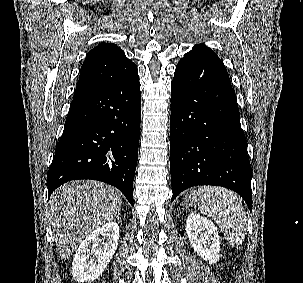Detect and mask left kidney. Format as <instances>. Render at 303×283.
Listing matches in <instances>:
<instances>
[{
	"label": "left kidney",
	"mask_w": 303,
	"mask_h": 283,
	"mask_svg": "<svg viewBox=\"0 0 303 283\" xmlns=\"http://www.w3.org/2000/svg\"><path fill=\"white\" fill-rule=\"evenodd\" d=\"M186 232L194 251L213 264L219 260L220 241L215 225L198 214L191 213L186 221Z\"/></svg>",
	"instance_id": "1"
}]
</instances>
